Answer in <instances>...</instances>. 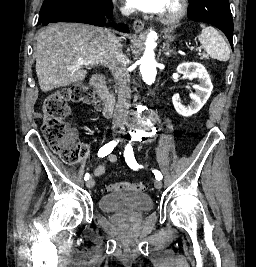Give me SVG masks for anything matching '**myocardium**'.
<instances>
[{"mask_svg": "<svg viewBox=\"0 0 256 267\" xmlns=\"http://www.w3.org/2000/svg\"><path fill=\"white\" fill-rule=\"evenodd\" d=\"M170 7L173 10L172 17H171V19L169 21H166V20L162 19V22L165 23V24L176 23L185 14V8L180 3H176L175 1H173L170 4Z\"/></svg>", "mask_w": 256, "mask_h": 267, "instance_id": "f54148a6", "label": "myocardium"}]
</instances>
